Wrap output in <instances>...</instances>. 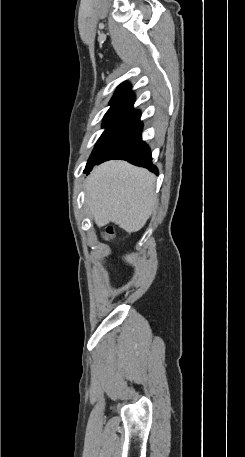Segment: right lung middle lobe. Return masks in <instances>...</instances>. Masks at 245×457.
<instances>
[{
    "mask_svg": "<svg viewBox=\"0 0 245 457\" xmlns=\"http://www.w3.org/2000/svg\"><path fill=\"white\" fill-rule=\"evenodd\" d=\"M130 112H107L103 119V127L106 130L103 132L95 148L88 160L84 173H88L93 166L96 164L98 158L103 153L105 148L120 130L124 122L126 121Z\"/></svg>",
    "mask_w": 245,
    "mask_h": 457,
    "instance_id": "1",
    "label": "right lung middle lobe"
}]
</instances>
